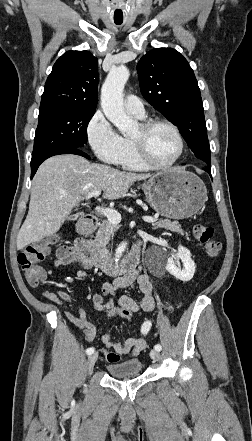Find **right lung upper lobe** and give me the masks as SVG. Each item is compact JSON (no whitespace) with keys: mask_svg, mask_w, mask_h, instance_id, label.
<instances>
[{"mask_svg":"<svg viewBox=\"0 0 252 441\" xmlns=\"http://www.w3.org/2000/svg\"><path fill=\"white\" fill-rule=\"evenodd\" d=\"M98 81L96 57L88 51L65 52L48 76L40 109L65 107L95 110Z\"/></svg>","mask_w":252,"mask_h":441,"instance_id":"right-lung-upper-lobe-1","label":"right lung upper lobe"}]
</instances>
